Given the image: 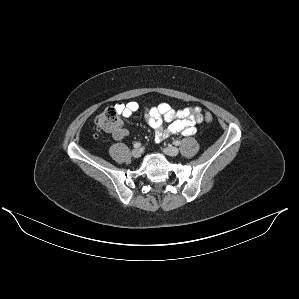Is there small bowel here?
Here are the masks:
<instances>
[{"instance_id": "obj_1", "label": "small bowel", "mask_w": 299, "mask_h": 299, "mask_svg": "<svg viewBox=\"0 0 299 299\" xmlns=\"http://www.w3.org/2000/svg\"><path fill=\"white\" fill-rule=\"evenodd\" d=\"M114 107L124 117H130L140 109L139 104L135 101L119 102ZM145 118L154 130L156 141L161 142L176 134L193 135L196 132V123L201 122L203 116L198 107L174 110L168 103H160L146 108ZM129 134V130L122 128L119 132L113 133L112 136L116 140H121Z\"/></svg>"}]
</instances>
